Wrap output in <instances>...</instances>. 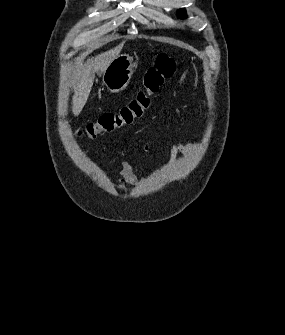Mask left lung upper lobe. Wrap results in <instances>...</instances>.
<instances>
[{"label": "left lung upper lobe", "mask_w": 285, "mask_h": 335, "mask_svg": "<svg viewBox=\"0 0 285 335\" xmlns=\"http://www.w3.org/2000/svg\"><path fill=\"white\" fill-rule=\"evenodd\" d=\"M177 14H178V17H181V18H186L187 17L185 9L178 10Z\"/></svg>", "instance_id": "1"}]
</instances>
